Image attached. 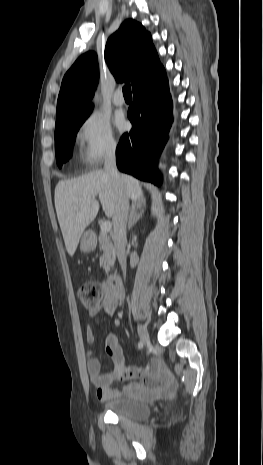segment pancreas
Masks as SVG:
<instances>
[{"label":"pancreas","mask_w":263,"mask_h":465,"mask_svg":"<svg viewBox=\"0 0 263 465\" xmlns=\"http://www.w3.org/2000/svg\"><path fill=\"white\" fill-rule=\"evenodd\" d=\"M98 241L99 249L102 251L100 266L108 273L115 262V248L109 235L105 232L99 233Z\"/></svg>","instance_id":"1"}]
</instances>
